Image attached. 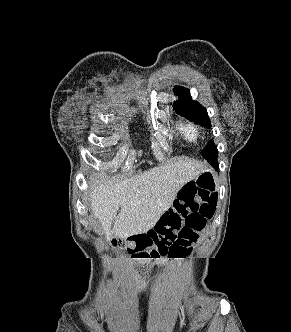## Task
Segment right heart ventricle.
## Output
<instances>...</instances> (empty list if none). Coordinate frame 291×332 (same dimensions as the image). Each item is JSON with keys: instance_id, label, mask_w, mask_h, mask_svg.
Listing matches in <instances>:
<instances>
[{"instance_id": "1", "label": "right heart ventricle", "mask_w": 291, "mask_h": 332, "mask_svg": "<svg viewBox=\"0 0 291 332\" xmlns=\"http://www.w3.org/2000/svg\"><path fill=\"white\" fill-rule=\"evenodd\" d=\"M177 130L179 134L189 142H194L197 140L199 133L198 130L189 123H181L178 125Z\"/></svg>"}]
</instances>
